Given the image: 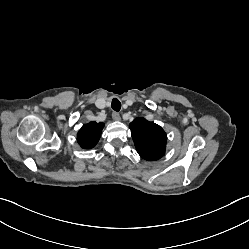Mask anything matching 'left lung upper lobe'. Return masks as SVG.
Masks as SVG:
<instances>
[{
	"instance_id": "1",
	"label": "left lung upper lobe",
	"mask_w": 249,
	"mask_h": 249,
	"mask_svg": "<svg viewBox=\"0 0 249 249\" xmlns=\"http://www.w3.org/2000/svg\"><path fill=\"white\" fill-rule=\"evenodd\" d=\"M130 129L136 150L143 159L156 161L164 156L167 136L159 125L136 118L130 123Z\"/></svg>"
}]
</instances>
